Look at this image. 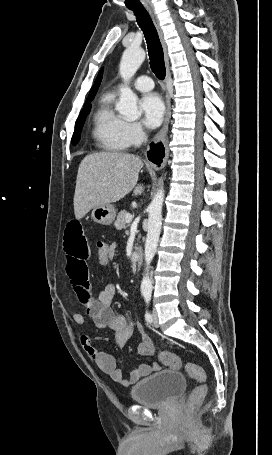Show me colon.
Listing matches in <instances>:
<instances>
[{
  "mask_svg": "<svg viewBox=\"0 0 272 455\" xmlns=\"http://www.w3.org/2000/svg\"><path fill=\"white\" fill-rule=\"evenodd\" d=\"M98 248V263L101 268H106L109 261L111 260L110 252H109V245L106 241L100 240L97 243ZM161 361L167 365L169 368L174 370H179L182 368V361L179 356L171 352H162L160 354ZM185 371L187 374L193 378L197 385L191 391L187 404H186V411L187 413H193L195 408L202 402L203 398L206 394V372L205 370L196 365L194 363L188 362L184 366Z\"/></svg>",
  "mask_w": 272,
  "mask_h": 455,
  "instance_id": "colon-1",
  "label": "colon"
}]
</instances>
